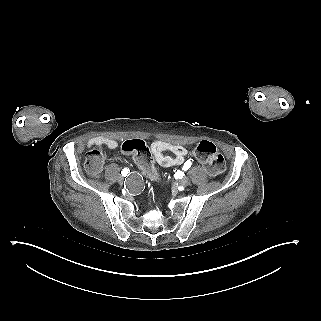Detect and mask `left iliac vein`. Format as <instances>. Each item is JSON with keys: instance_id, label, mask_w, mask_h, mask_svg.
Here are the masks:
<instances>
[{"instance_id": "obj_1", "label": "left iliac vein", "mask_w": 321, "mask_h": 321, "mask_svg": "<svg viewBox=\"0 0 321 321\" xmlns=\"http://www.w3.org/2000/svg\"><path fill=\"white\" fill-rule=\"evenodd\" d=\"M178 184L181 186H188L190 184L189 177L185 176L181 180L178 181Z\"/></svg>"}]
</instances>
